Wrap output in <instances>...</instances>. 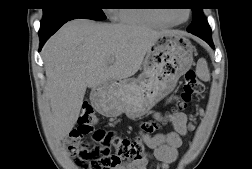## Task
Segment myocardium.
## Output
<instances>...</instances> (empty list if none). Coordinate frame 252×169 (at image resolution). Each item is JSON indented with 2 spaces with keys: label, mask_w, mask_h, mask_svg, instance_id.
Returning a JSON list of instances; mask_svg holds the SVG:
<instances>
[{
  "label": "myocardium",
  "mask_w": 252,
  "mask_h": 169,
  "mask_svg": "<svg viewBox=\"0 0 252 169\" xmlns=\"http://www.w3.org/2000/svg\"><path fill=\"white\" fill-rule=\"evenodd\" d=\"M155 18H157L158 20L165 22L167 24H173V25H178V24H182L184 22H186L188 20V18L190 17V10H187V16L186 19L180 22H176V21H172L169 18L162 16V15H154Z\"/></svg>",
  "instance_id": "1"
}]
</instances>
